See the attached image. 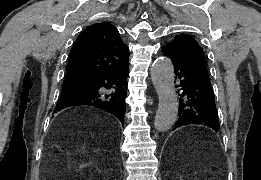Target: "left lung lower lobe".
Here are the masks:
<instances>
[{"label": "left lung lower lobe", "instance_id": "obj_1", "mask_svg": "<svg viewBox=\"0 0 261 180\" xmlns=\"http://www.w3.org/2000/svg\"><path fill=\"white\" fill-rule=\"evenodd\" d=\"M161 51L172 60L177 87H180L179 119L174 129L188 124H200L218 131V112L208 74L182 59L170 47L165 46Z\"/></svg>", "mask_w": 261, "mask_h": 180}]
</instances>
